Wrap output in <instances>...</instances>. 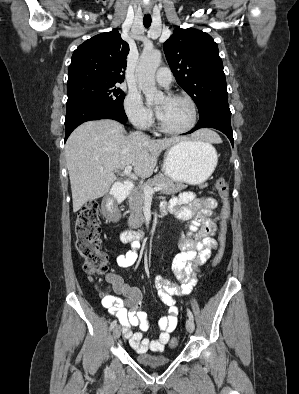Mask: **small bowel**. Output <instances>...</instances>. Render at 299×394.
Wrapping results in <instances>:
<instances>
[{
	"instance_id": "obj_1",
	"label": "small bowel",
	"mask_w": 299,
	"mask_h": 394,
	"mask_svg": "<svg viewBox=\"0 0 299 394\" xmlns=\"http://www.w3.org/2000/svg\"><path fill=\"white\" fill-rule=\"evenodd\" d=\"M217 201L212 197H196L192 192H183L172 198L168 203L162 204L164 211H169L182 222H189L186 233L181 234L179 246L181 252L172 261V270L181 284L157 276L154 286L161 301L168 307V314L160 318L158 329L160 334L156 340L143 336L149 328L147 313L140 310L142 292L139 288L130 286L122 281L118 275H110L115 279L113 290L124 299L115 296H106L102 304L111 315L116 316L123 326L124 336L130 345L139 354L163 351L169 342L171 334L177 326L179 309L176 296L187 295L196 284V274L199 268L206 263L213 250L218 245L214 239L217 221L220 215L216 214ZM131 250L117 257V264L125 269L132 267L138 260L136 250L140 247V240L131 242ZM139 327L140 331H134Z\"/></svg>"
}]
</instances>
